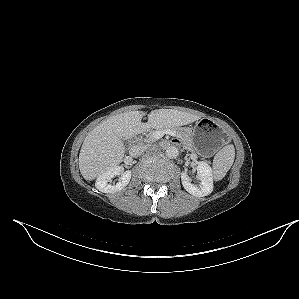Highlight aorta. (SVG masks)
Listing matches in <instances>:
<instances>
[{
	"label": "aorta",
	"mask_w": 299,
	"mask_h": 299,
	"mask_svg": "<svg viewBox=\"0 0 299 299\" xmlns=\"http://www.w3.org/2000/svg\"><path fill=\"white\" fill-rule=\"evenodd\" d=\"M166 155L171 159H175L179 155V150L176 146H169L166 149Z\"/></svg>",
	"instance_id": "obj_1"
}]
</instances>
